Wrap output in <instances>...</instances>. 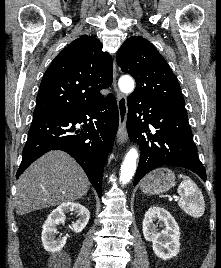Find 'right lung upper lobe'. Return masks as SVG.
Here are the masks:
<instances>
[{
  "instance_id": "right-lung-upper-lobe-1",
  "label": "right lung upper lobe",
  "mask_w": 221,
  "mask_h": 268,
  "mask_svg": "<svg viewBox=\"0 0 221 268\" xmlns=\"http://www.w3.org/2000/svg\"><path fill=\"white\" fill-rule=\"evenodd\" d=\"M102 43L83 35L64 48L46 70L33 117L55 116L94 105L105 97L100 90L113 80V65Z\"/></svg>"
}]
</instances>
